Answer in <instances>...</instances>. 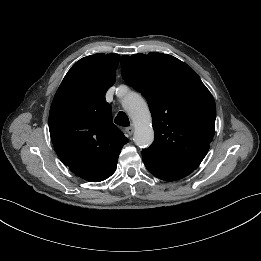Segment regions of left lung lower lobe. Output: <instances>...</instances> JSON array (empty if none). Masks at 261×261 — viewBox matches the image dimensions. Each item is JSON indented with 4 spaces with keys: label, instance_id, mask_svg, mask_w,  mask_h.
<instances>
[{
    "label": "left lung lower lobe",
    "instance_id": "0a47b994",
    "mask_svg": "<svg viewBox=\"0 0 261 261\" xmlns=\"http://www.w3.org/2000/svg\"><path fill=\"white\" fill-rule=\"evenodd\" d=\"M142 160L150 173L165 181H175L189 175L192 170L177 169L161 165L149 157L142 156Z\"/></svg>",
    "mask_w": 261,
    "mask_h": 261
}]
</instances>
